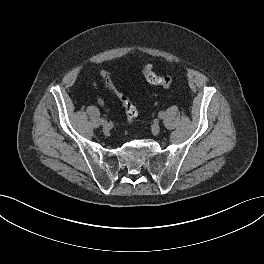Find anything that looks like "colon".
<instances>
[{
	"label": "colon",
	"instance_id": "obj_1",
	"mask_svg": "<svg viewBox=\"0 0 264 264\" xmlns=\"http://www.w3.org/2000/svg\"><path fill=\"white\" fill-rule=\"evenodd\" d=\"M142 72H143L145 79L150 84L162 86L165 88H169L173 84L172 78L168 76L158 75L154 71L153 66L151 64H145L142 68ZM100 75H101V78L106 88L112 93H114L121 101L128 120L133 121L137 117L138 111L136 107L133 105V103L131 102V100L129 99V97L115 88L111 75L108 71L102 70L100 72Z\"/></svg>",
	"mask_w": 264,
	"mask_h": 264
}]
</instances>
